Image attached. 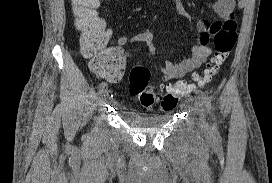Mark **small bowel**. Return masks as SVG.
<instances>
[{"instance_id": "obj_1", "label": "small bowel", "mask_w": 272, "mask_h": 183, "mask_svg": "<svg viewBox=\"0 0 272 183\" xmlns=\"http://www.w3.org/2000/svg\"><path fill=\"white\" fill-rule=\"evenodd\" d=\"M176 4L177 12L182 16H188L185 12L180 0H174ZM245 0H217L214 4V10L221 19V21L227 20L232 16L235 8H242ZM213 23H220L215 21ZM212 23L208 20H200L198 22V30L201 34L200 41L192 46L191 54L179 62L165 61L164 66L161 68V72L165 80H173L181 78L186 74L196 70L207 60L211 53V49L207 45L208 39H213L217 36L219 25H211ZM109 38L111 31L107 29ZM130 43H144L148 46L149 51L152 54H156L158 49L154 43V35L150 30H144L138 34L132 36H122L117 40V44L110 47L109 50L117 56V61L111 65L106 71L97 73L107 79L110 82L118 81L125 68V55L123 47Z\"/></svg>"}]
</instances>
